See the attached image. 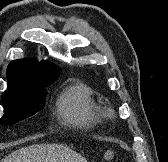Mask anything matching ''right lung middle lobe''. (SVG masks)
I'll use <instances>...</instances> for the list:
<instances>
[{
    "mask_svg": "<svg viewBox=\"0 0 168 162\" xmlns=\"http://www.w3.org/2000/svg\"><path fill=\"white\" fill-rule=\"evenodd\" d=\"M51 83L24 84L13 91L3 93L4 116L0 119V124L16 123L41 110L47 93L45 87Z\"/></svg>",
    "mask_w": 168,
    "mask_h": 162,
    "instance_id": "dd1d6c3e",
    "label": "right lung middle lobe"
}]
</instances>
